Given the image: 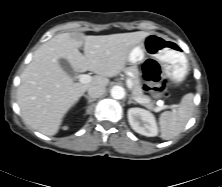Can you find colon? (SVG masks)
<instances>
[{"mask_svg":"<svg viewBox=\"0 0 222 187\" xmlns=\"http://www.w3.org/2000/svg\"><path fill=\"white\" fill-rule=\"evenodd\" d=\"M143 79H144V89L155 95L162 96L167 90V81L161 80V71L158 64L149 59L145 62L143 67Z\"/></svg>","mask_w":222,"mask_h":187,"instance_id":"5ec220e1","label":"colon"}]
</instances>
